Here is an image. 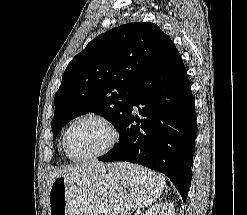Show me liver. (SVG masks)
Returning <instances> with one entry per match:
<instances>
[{
    "label": "liver",
    "instance_id": "1",
    "mask_svg": "<svg viewBox=\"0 0 247 215\" xmlns=\"http://www.w3.org/2000/svg\"><path fill=\"white\" fill-rule=\"evenodd\" d=\"M105 165L100 162H90V163H84L82 165H74V166H67L63 168H58L49 174V189L52 185L53 181L61 176L67 177L69 179H75L78 177L85 176L88 172H90L92 169H100L104 167Z\"/></svg>",
    "mask_w": 247,
    "mask_h": 215
}]
</instances>
